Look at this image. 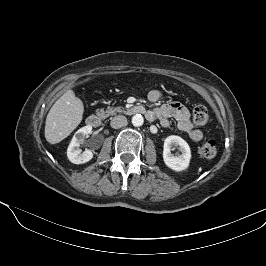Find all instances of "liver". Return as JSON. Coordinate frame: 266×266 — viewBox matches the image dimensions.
I'll list each match as a JSON object with an SVG mask.
<instances>
[{
	"mask_svg": "<svg viewBox=\"0 0 266 266\" xmlns=\"http://www.w3.org/2000/svg\"><path fill=\"white\" fill-rule=\"evenodd\" d=\"M83 102L73 90L66 91L51 107L45 122V138L55 144L70 135L82 121Z\"/></svg>",
	"mask_w": 266,
	"mask_h": 266,
	"instance_id": "6515ba94",
	"label": "liver"
}]
</instances>
